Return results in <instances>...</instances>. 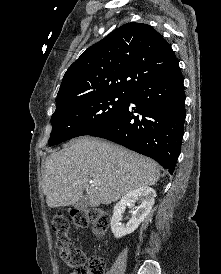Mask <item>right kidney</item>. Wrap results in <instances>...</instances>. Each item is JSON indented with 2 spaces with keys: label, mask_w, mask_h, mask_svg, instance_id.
<instances>
[{
  "label": "right kidney",
  "mask_w": 221,
  "mask_h": 274,
  "mask_svg": "<svg viewBox=\"0 0 221 274\" xmlns=\"http://www.w3.org/2000/svg\"><path fill=\"white\" fill-rule=\"evenodd\" d=\"M156 192L153 188L142 186L136 190L127 193L114 207L113 216L111 219V230L116 238H121L127 234L133 233L140 223L150 213L154 205ZM139 201V206L131 211V219L123 226L120 221L126 207H133L135 201Z\"/></svg>",
  "instance_id": "1"
}]
</instances>
